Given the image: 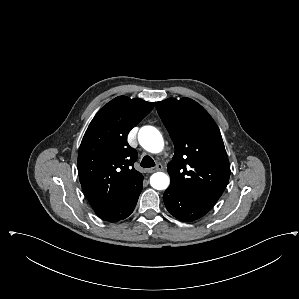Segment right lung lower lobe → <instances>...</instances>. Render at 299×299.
<instances>
[{"instance_id": "right-lung-lower-lobe-1", "label": "right lung lower lobe", "mask_w": 299, "mask_h": 299, "mask_svg": "<svg viewBox=\"0 0 299 299\" xmlns=\"http://www.w3.org/2000/svg\"><path fill=\"white\" fill-rule=\"evenodd\" d=\"M142 182L136 187V189L129 194L122 202L114 207L109 212L99 216L105 221L117 222L127 218L134 210L139 195L142 191Z\"/></svg>"}]
</instances>
